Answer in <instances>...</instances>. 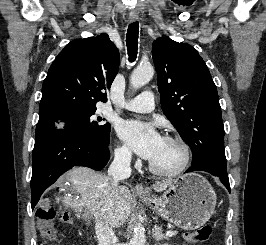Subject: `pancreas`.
I'll list each match as a JSON object with an SVG mask.
<instances>
[{
    "label": "pancreas",
    "instance_id": "obj_1",
    "mask_svg": "<svg viewBox=\"0 0 266 245\" xmlns=\"http://www.w3.org/2000/svg\"><path fill=\"white\" fill-rule=\"evenodd\" d=\"M173 233H175V235H177L178 231H173Z\"/></svg>",
    "mask_w": 266,
    "mask_h": 245
}]
</instances>
